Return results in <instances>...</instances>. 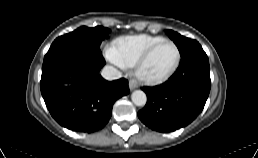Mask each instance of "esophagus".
<instances>
[{
  "label": "esophagus",
  "instance_id": "1",
  "mask_svg": "<svg viewBox=\"0 0 258 158\" xmlns=\"http://www.w3.org/2000/svg\"><path fill=\"white\" fill-rule=\"evenodd\" d=\"M138 87V82L135 79L129 81V89L132 91Z\"/></svg>",
  "mask_w": 258,
  "mask_h": 158
}]
</instances>
